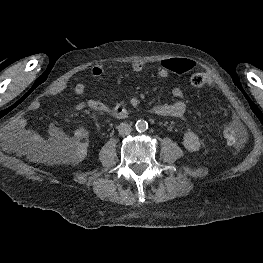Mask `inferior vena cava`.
I'll use <instances>...</instances> for the list:
<instances>
[{
  "label": "inferior vena cava",
  "mask_w": 263,
  "mask_h": 263,
  "mask_svg": "<svg viewBox=\"0 0 263 263\" xmlns=\"http://www.w3.org/2000/svg\"><path fill=\"white\" fill-rule=\"evenodd\" d=\"M131 130V125H129L128 123H121L118 126V132L122 136L129 135L131 133Z\"/></svg>",
  "instance_id": "obj_1"
}]
</instances>
